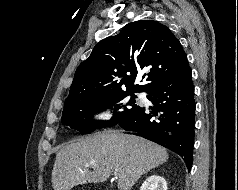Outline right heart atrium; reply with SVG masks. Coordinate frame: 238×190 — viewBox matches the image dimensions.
Instances as JSON below:
<instances>
[{
  "label": "right heart atrium",
  "instance_id": "obj_1",
  "mask_svg": "<svg viewBox=\"0 0 238 190\" xmlns=\"http://www.w3.org/2000/svg\"><path fill=\"white\" fill-rule=\"evenodd\" d=\"M112 117V110L107 106H99L94 112V119L97 121H106Z\"/></svg>",
  "mask_w": 238,
  "mask_h": 190
}]
</instances>
